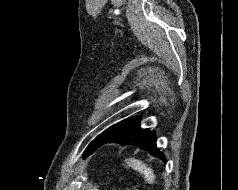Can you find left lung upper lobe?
I'll list each match as a JSON object with an SVG mask.
<instances>
[{"instance_id":"left-lung-upper-lobe-1","label":"left lung upper lobe","mask_w":238,"mask_h":190,"mask_svg":"<svg viewBox=\"0 0 238 190\" xmlns=\"http://www.w3.org/2000/svg\"><path fill=\"white\" fill-rule=\"evenodd\" d=\"M113 127V126H112ZM112 127L105 130L102 134H100L98 137H96L88 146L86 153L87 155L92 153L94 150H96L99 146H101V143L103 139L105 138L106 134L112 129Z\"/></svg>"}]
</instances>
